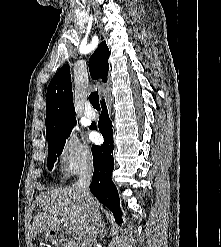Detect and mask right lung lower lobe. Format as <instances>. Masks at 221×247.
Here are the masks:
<instances>
[{"label": "right lung lower lobe", "mask_w": 221, "mask_h": 247, "mask_svg": "<svg viewBox=\"0 0 221 247\" xmlns=\"http://www.w3.org/2000/svg\"><path fill=\"white\" fill-rule=\"evenodd\" d=\"M104 142L101 146H92L94 175L90 184L92 194L110 211L116 222L121 223L119 195L111 175L114 169L113 129L105 101L102 100V112L98 122Z\"/></svg>", "instance_id": "1"}]
</instances>
